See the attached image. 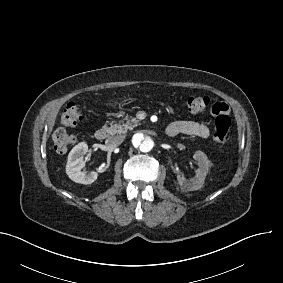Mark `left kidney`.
<instances>
[{"label":"left kidney","instance_id":"left-kidney-1","mask_svg":"<svg viewBox=\"0 0 283 283\" xmlns=\"http://www.w3.org/2000/svg\"><path fill=\"white\" fill-rule=\"evenodd\" d=\"M193 158L198 163L199 169L196 170V178L187 180L180 173H177V181L182 191H196L200 189L209 171L210 161L202 151H196Z\"/></svg>","mask_w":283,"mask_h":283}]
</instances>
